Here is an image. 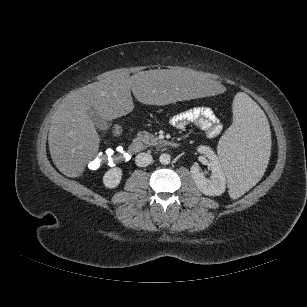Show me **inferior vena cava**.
I'll use <instances>...</instances> for the list:
<instances>
[{"label":"inferior vena cava","instance_id":"602c4592","mask_svg":"<svg viewBox=\"0 0 307 307\" xmlns=\"http://www.w3.org/2000/svg\"><path fill=\"white\" fill-rule=\"evenodd\" d=\"M152 156L149 153H139L135 157V163L139 167H146L152 163Z\"/></svg>","mask_w":307,"mask_h":307}]
</instances>
